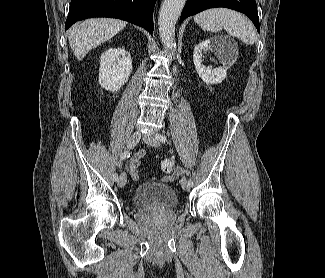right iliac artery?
Here are the masks:
<instances>
[{"mask_svg":"<svg viewBox=\"0 0 325 278\" xmlns=\"http://www.w3.org/2000/svg\"><path fill=\"white\" fill-rule=\"evenodd\" d=\"M128 157H130V153H129V151H125V152H123V153L120 155V160H124V159H126V158H128ZM113 179H114L115 181L118 180V175H117L116 173L113 175Z\"/></svg>","mask_w":325,"mask_h":278,"instance_id":"obj_1","label":"right iliac artery"}]
</instances>
